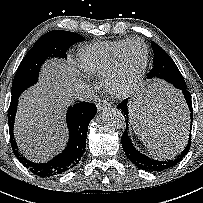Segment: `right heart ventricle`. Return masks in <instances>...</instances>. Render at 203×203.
I'll use <instances>...</instances> for the list:
<instances>
[{
    "label": "right heart ventricle",
    "mask_w": 203,
    "mask_h": 203,
    "mask_svg": "<svg viewBox=\"0 0 203 203\" xmlns=\"http://www.w3.org/2000/svg\"><path fill=\"white\" fill-rule=\"evenodd\" d=\"M129 39L83 47L78 53L81 70L91 76L105 77Z\"/></svg>",
    "instance_id": "e07e8e85"
}]
</instances>
